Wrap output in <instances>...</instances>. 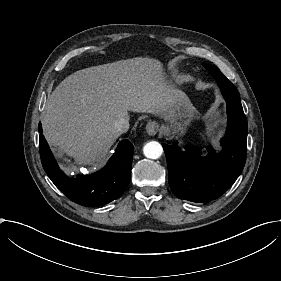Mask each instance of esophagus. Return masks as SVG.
Masks as SVG:
<instances>
[{
    "label": "esophagus",
    "mask_w": 281,
    "mask_h": 281,
    "mask_svg": "<svg viewBox=\"0 0 281 281\" xmlns=\"http://www.w3.org/2000/svg\"><path fill=\"white\" fill-rule=\"evenodd\" d=\"M158 131V125L155 121H151L146 125V132L149 135H155Z\"/></svg>",
    "instance_id": "esophagus-1"
}]
</instances>
